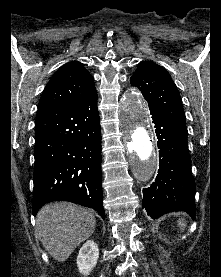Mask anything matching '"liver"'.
Segmentation results:
<instances>
[{
  "label": "liver",
  "mask_w": 221,
  "mask_h": 277,
  "mask_svg": "<svg viewBox=\"0 0 221 277\" xmlns=\"http://www.w3.org/2000/svg\"><path fill=\"white\" fill-rule=\"evenodd\" d=\"M93 211L69 202L44 205L36 218L35 232L47 252L64 262L94 232Z\"/></svg>",
  "instance_id": "1"
}]
</instances>
